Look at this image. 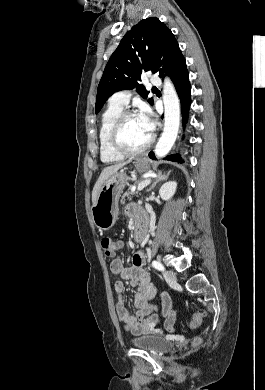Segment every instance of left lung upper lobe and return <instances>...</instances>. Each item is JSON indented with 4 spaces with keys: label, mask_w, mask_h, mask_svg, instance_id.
<instances>
[{
    "label": "left lung upper lobe",
    "mask_w": 265,
    "mask_h": 390,
    "mask_svg": "<svg viewBox=\"0 0 265 390\" xmlns=\"http://www.w3.org/2000/svg\"><path fill=\"white\" fill-rule=\"evenodd\" d=\"M181 54L178 42L171 30L156 17L140 21L128 31L111 55L99 82L96 113L115 92L137 87V92L147 98L148 92L138 84L143 71L169 73L174 61ZM150 104L153 99H149Z\"/></svg>",
    "instance_id": "5c2ea615"
}]
</instances>
